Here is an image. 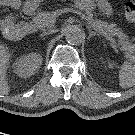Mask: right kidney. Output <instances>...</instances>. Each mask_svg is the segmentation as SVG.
Here are the masks:
<instances>
[{
  "label": "right kidney",
  "instance_id": "right-kidney-1",
  "mask_svg": "<svg viewBox=\"0 0 135 135\" xmlns=\"http://www.w3.org/2000/svg\"><path fill=\"white\" fill-rule=\"evenodd\" d=\"M42 63L40 54L31 53L21 56L14 63V72L20 77H30L38 70Z\"/></svg>",
  "mask_w": 135,
  "mask_h": 135
}]
</instances>
